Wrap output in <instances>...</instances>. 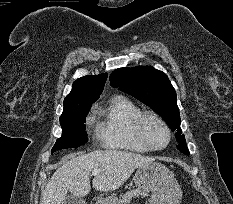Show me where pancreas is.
<instances>
[{"label": "pancreas", "instance_id": "pancreas-1", "mask_svg": "<svg viewBox=\"0 0 233 204\" xmlns=\"http://www.w3.org/2000/svg\"><path fill=\"white\" fill-rule=\"evenodd\" d=\"M147 197L148 193L141 191L140 189H135V190H131L129 192H127L122 199H120L118 201V204H129L131 202V200L135 197Z\"/></svg>", "mask_w": 233, "mask_h": 204}]
</instances>
